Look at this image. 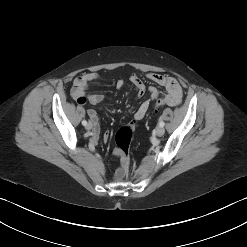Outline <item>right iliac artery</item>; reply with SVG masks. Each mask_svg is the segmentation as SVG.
Segmentation results:
<instances>
[{
    "mask_svg": "<svg viewBox=\"0 0 247 247\" xmlns=\"http://www.w3.org/2000/svg\"><path fill=\"white\" fill-rule=\"evenodd\" d=\"M82 125L86 126L87 125V121L86 120H83L82 121Z\"/></svg>",
    "mask_w": 247,
    "mask_h": 247,
    "instance_id": "obj_1",
    "label": "right iliac artery"
}]
</instances>
